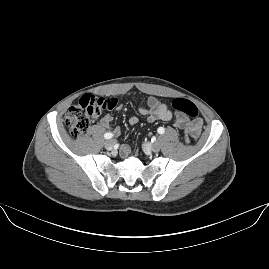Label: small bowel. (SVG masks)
Masks as SVG:
<instances>
[{"label": "small bowel", "instance_id": "c3829d8e", "mask_svg": "<svg viewBox=\"0 0 269 269\" xmlns=\"http://www.w3.org/2000/svg\"><path fill=\"white\" fill-rule=\"evenodd\" d=\"M140 113L147 116V120L150 123H153L158 120L162 121H171L174 120L175 126L179 128L188 127L191 123L187 117L183 115L173 116L172 112L168 109L167 105L155 97H149L146 103V107H141L139 109ZM113 116L109 113L103 114L99 119V124L103 127H111L113 123ZM200 121V120H199ZM139 122L137 116H132L129 118V123L135 125ZM201 124V121H200ZM130 154V147L124 145L121 148L122 157H127Z\"/></svg>", "mask_w": 269, "mask_h": 269}]
</instances>
